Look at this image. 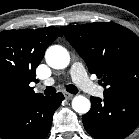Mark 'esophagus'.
<instances>
[{
	"instance_id": "1",
	"label": "esophagus",
	"mask_w": 139,
	"mask_h": 139,
	"mask_svg": "<svg viewBox=\"0 0 139 139\" xmlns=\"http://www.w3.org/2000/svg\"><path fill=\"white\" fill-rule=\"evenodd\" d=\"M64 96H65L66 99H72V98L74 97L73 94L68 93V92H65V93H64Z\"/></svg>"
}]
</instances>
